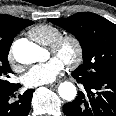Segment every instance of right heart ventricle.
Here are the masks:
<instances>
[{"mask_svg": "<svg viewBox=\"0 0 116 116\" xmlns=\"http://www.w3.org/2000/svg\"><path fill=\"white\" fill-rule=\"evenodd\" d=\"M29 36L36 42L50 46L54 41L63 35V32L56 26L50 24H38L28 31Z\"/></svg>", "mask_w": 116, "mask_h": 116, "instance_id": "right-heart-ventricle-1", "label": "right heart ventricle"}]
</instances>
